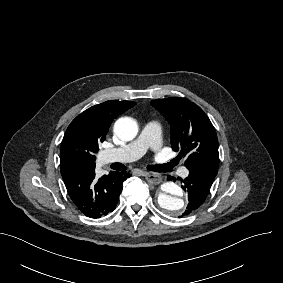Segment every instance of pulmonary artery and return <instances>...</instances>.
Wrapping results in <instances>:
<instances>
[{
	"mask_svg": "<svg viewBox=\"0 0 283 283\" xmlns=\"http://www.w3.org/2000/svg\"><path fill=\"white\" fill-rule=\"evenodd\" d=\"M161 128L156 122H149L143 126L138 142L119 147L117 151H105L103 153V160L112 163H124L133 161L147 155L151 150L156 154H163L165 152V145L161 142ZM177 175L179 177H186L188 175V168L186 166H179L177 168Z\"/></svg>",
	"mask_w": 283,
	"mask_h": 283,
	"instance_id": "e3ab8cb5",
	"label": "pulmonary artery"
}]
</instances>
